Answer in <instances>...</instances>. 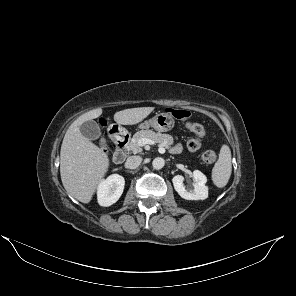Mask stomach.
<instances>
[{
  "label": "stomach",
  "mask_w": 296,
  "mask_h": 296,
  "mask_svg": "<svg viewBox=\"0 0 296 296\" xmlns=\"http://www.w3.org/2000/svg\"><path fill=\"white\" fill-rule=\"evenodd\" d=\"M175 121L168 113L156 114L153 118L140 124L141 129L154 128L159 132H167L174 127Z\"/></svg>",
  "instance_id": "obj_1"
}]
</instances>
